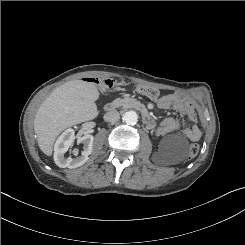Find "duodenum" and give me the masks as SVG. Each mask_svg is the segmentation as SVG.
<instances>
[{
  "mask_svg": "<svg viewBox=\"0 0 245 245\" xmlns=\"http://www.w3.org/2000/svg\"><path fill=\"white\" fill-rule=\"evenodd\" d=\"M115 107H116V103H108L105 106L106 110H108V111L113 110ZM143 120L147 124L151 123V117L146 111H143Z\"/></svg>",
  "mask_w": 245,
  "mask_h": 245,
  "instance_id": "410a0bca",
  "label": "duodenum"
}]
</instances>
